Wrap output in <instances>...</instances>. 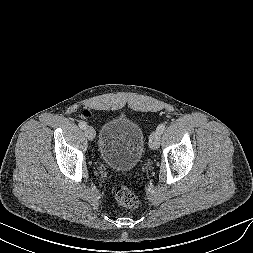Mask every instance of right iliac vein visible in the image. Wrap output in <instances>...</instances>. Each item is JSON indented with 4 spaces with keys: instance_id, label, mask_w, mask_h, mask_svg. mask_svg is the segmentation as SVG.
Listing matches in <instances>:
<instances>
[{
    "instance_id": "obj_1",
    "label": "right iliac vein",
    "mask_w": 253,
    "mask_h": 253,
    "mask_svg": "<svg viewBox=\"0 0 253 253\" xmlns=\"http://www.w3.org/2000/svg\"><path fill=\"white\" fill-rule=\"evenodd\" d=\"M84 132L89 140H93L95 138V130L91 126L86 127Z\"/></svg>"
}]
</instances>
